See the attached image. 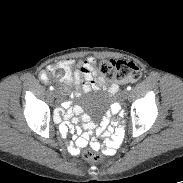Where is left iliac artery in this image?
I'll return each instance as SVG.
<instances>
[{
	"label": "left iliac artery",
	"mask_w": 183,
	"mask_h": 183,
	"mask_svg": "<svg viewBox=\"0 0 183 183\" xmlns=\"http://www.w3.org/2000/svg\"><path fill=\"white\" fill-rule=\"evenodd\" d=\"M127 90H128V91L131 90V86H128V87H127Z\"/></svg>",
	"instance_id": "left-iliac-artery-1"
}]
</instances>
